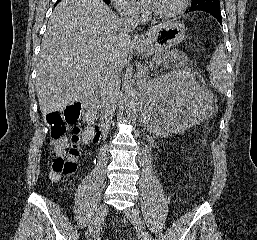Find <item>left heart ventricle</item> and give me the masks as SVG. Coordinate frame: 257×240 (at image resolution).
Here are the masks:
<instances>
[{
    "label": "left heart ventricle",
    "mask_w": 257,
    "mask_h": 240,
    "mask_svg": "<svg viewBox=\"0 0 257 240\" xmlns=\"http://www.w3.org/2000/svg\"><path fill=\"white\" fill-rule=\"evenodd\" d=\"M177 1L178 0H155L152 10L160 13L167 12L176 6Z\"/></svg>",
    "instance_id": "1"
}]
</instances>
